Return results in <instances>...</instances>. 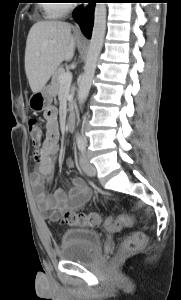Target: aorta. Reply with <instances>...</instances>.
Wrapping results in <instances>:
<instances>
[{
    "instance_id": "762f6f07",
    "label": "aorta",
    "mask_w": 181,
    "mask_h": 300,
    "mask_svg": "<svg viewBox=\"0 0 181 300\" xmlns=\"http://www.w3.org/2000/svg\"><path fill=\"white\" fill-rule=\"evenodd\" d=\"M106 3H96L94 25L85 61L84 73L78 87L77 99L80 105L86 101L94 78L97 60L103 47L106 32Z\"/></svg>"
}]
</instances>
